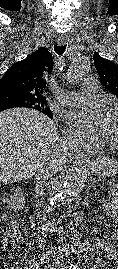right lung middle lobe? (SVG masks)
Instances as JSON below:
<instances>
[{
	"label": "right lung middle lobe",
	"mask_w": 118,
	"mask_h": 269,
	"mask_svg": "<svg viewBox=\"0 0 118 269\" xmlns=\"http://www.w3.org/2000/svg\"><path fill=\"white\" fill-rule=\"evenodd\" d=\"M9 101L11 102L13 107H28L33 109L46 107V104L44 102L23 95H10Z\"/></svg>",
	"instance_id": "dd1d6c3e"
}]
</instances>
